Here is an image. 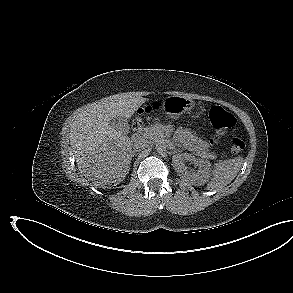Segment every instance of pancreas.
I'll list each match as a JSON object with an SVG mask.
<instances>
[{
    "mask_svg": "<svg viewBox=\"0 0 293 293\" xmlns=\"http://www.w3.org/2000/svg\"><path fill=\"white\" fill-rule=\"evenodd\" d=\"M164 132H165V126L160 123H157V124L151 125L150 127L145 128L143 136L147 140L154 141L159 138H163ZM201 155L206 158H211V159L216 158V155L210 152H202Z\"/></svg>",
    "mask_w": 293,
    "mask_h": 293,
    "instance_id": "obj_1",
    "label": "pancreas"
}]
</instances>
